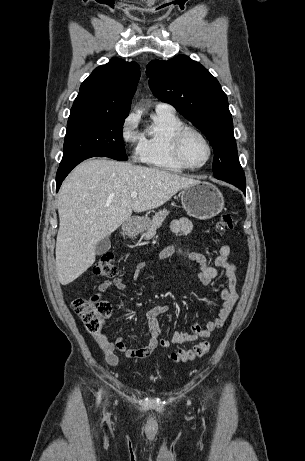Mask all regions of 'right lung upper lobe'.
<instances>
[{
  "label": "right lung upper lobe",
  "mask_w": 305,
  "mask_h": 461,
  "mask_svg": "<svg viewBox=\"0 0 305 461\" xmlns=\"http://www.w3.org/2000/svg\"><path fill=\"white\" fill-rule=\"evenodd\" d=\"M139 78L140 66L136 62L112 58L81 84L71 110L128 116Z\"/></svg>",
  "instance_id": "cb5924a9"
}]
</instances>
